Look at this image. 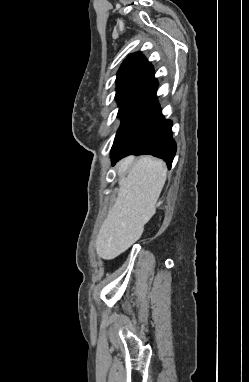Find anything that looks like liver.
<instances>
[{"label": "liver", "instance_id": "obj_1", "mask_svg": "<svg viewBox=\"0 0 249 382\" xmlns=\"http://www.w3.org/2000/svg\"><path fill=\"white\" fill-rule=\"evenodd\" d=\"M118 197L104 220L97 239L100 257L111 260L125 252L142 235L144 225L156 212L166 181L167 168L160 159L133 156L119 161Z\"/></svg>", "mask_w": 249, "mask_h": 382}]
</instances>
